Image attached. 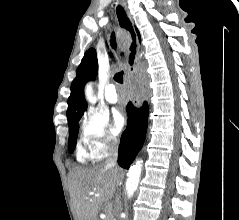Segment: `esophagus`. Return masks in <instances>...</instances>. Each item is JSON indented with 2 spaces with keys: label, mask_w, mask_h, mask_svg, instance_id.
<instances>
[{
  "label": "esophagus",
  "mask_w": 239,
  "mask_h": 220,
  "mask_svg": "<svg viewBox=\"0 0 239 220\" xmlns=\"http://www.w3.org/2000/svg\"><path fill=\"white\" fill-rule=\"evenodd\" d=\"M117 17L121 27L123 29V33L125 36V42L128 43V55H127V68L126 71L129 74L130 83L132 92L140 91V83L138 80V71H136L138 53H139V43L136 36L137 30L134 29V25L131 24L128 19L124 9L121 6H118L116 9ZM132 102H134L133 107L138 108L141 107V93H132ZM140 121L139 119L137 120Z\"/></svg>",
  "instance_id": "34e87169"
}]
</instances>
